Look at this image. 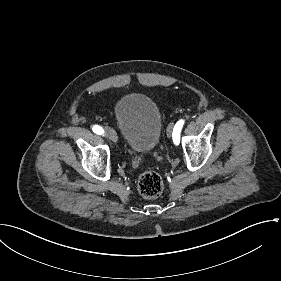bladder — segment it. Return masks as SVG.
<instances>
[{
    "label": "bladder",
    "instance_id": "31cf9c89",
    "mask_svg": "<svg viewBox=\"0 0 281 281\" xmlns=\"http://www.w3.org/2000/svg\"><path fill=\"white\" fill-rule=\"evenodd\" d=\"M113 119L123 142L139 154H150L160 145L164 118L154 98L145 92L129 93L113 106Z\"/></svg>",
    "mask_w": 281,
    "mask_h": 281
}]
</instances>
